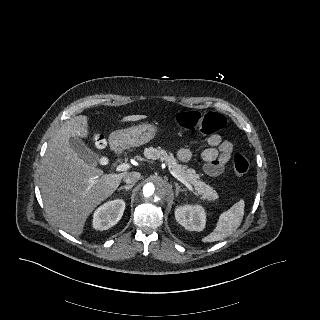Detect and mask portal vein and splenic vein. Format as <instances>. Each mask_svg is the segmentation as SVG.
<instances>
[{
	"instance_id": "portal-vein-and-splenic-vein-1",
	"label": "portal vein and splenic vein",
	"mask_w": 320,
	"mask_h": 320,
	"mask_svg": "<svg viewBox=\"0 0 320 320\" xmlns=\"http://www.w3.org/2000/svg\"><path fill=\"white\" fill-rule=\"evenodd\" d=\"M130 168V165L128 163H122L116 167V171H126ZM170 173L180 182H182L190 191H193L192 185L187 182L182 176L178 175L171 169H169Z\"/></svg>"
}]
</instances>
